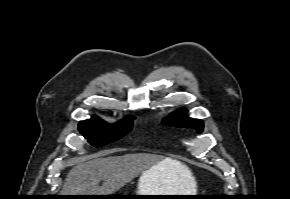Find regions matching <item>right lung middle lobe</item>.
I'll return each mask as SVG.
<instances>
[{
    "label": "right lung middle lobe",
    "mask_w": 290,
    "mask_h": 199,
    "mask_svg": "<svg viewBox=\"0 0 290 199\" xmlns=\"http://www.w3.org/2000/svg\"><path fill=\"white\" fill-rule=\"evenodd\" d=\"M135 117H126L123 121L114 125L107 124L94 117L81 121L78 125L80 133L95 147L112 143L132 130V122Z\"/></svg>",
    "instance_id": "right-lung-middle-lobe-1"
}]
</instances>
